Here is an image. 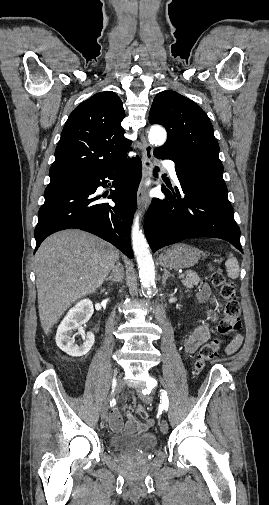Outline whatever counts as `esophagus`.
<instances>
[{
  "label": "esophagus",
  "mask_w": 269,
  "mask_h": 505,
  "mask_svg": "<svg viewBox=\"0 0 269 505\" xmlns=\"http://www.w3.org/2000/svg\"><path fill=\"white\" fill-rule=\"evenodd\" d=\"M142 144H143V163H144V169H143V176H142V181L140 183V186L138 188L137 192V204L139 207L142 208L143 212L147 209V206L149 204V197H148V190L144 186V181L148 176L149 170L145 166L146 162L151 161L153 157V147L147 142L144 136L141 138Z\"/></svg>",
  "instance_id": "1"
}]
</instances>
